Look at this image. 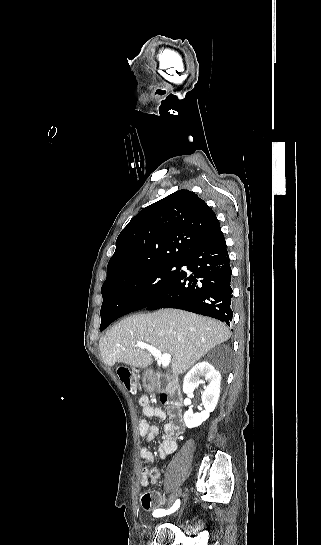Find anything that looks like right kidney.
Returning <instances> with one entry per match:
<instances>
[{
  "instance_id": "ca27d5eb",
  "label": "right kidney",
  "mask_w": 321,
  "mask_h": 545,
  "mask_svg": "<svg viewBox=\"0 0 321 545\" xmlns=\"http://www.w3.org/2000/svg\"><path fill=\"white\" fill-rule=\"evenodd\" d=\"M200 377H204L205 381H208V385L207 387H204L201 397L205 411H201V413L186 411V413H184V421L188 429L199 427L203 421H206L210 413L214 411L220 397L221 375L219 371H215L214 367H212L210 363H207V361L197 363V365H195V367H193V369H191V371L185 375L183 381V393H186V395H192L194 389H196L200 383H203ZM192 397H190V399H192ZM190 399H184V405H191Z\"/></svg>"
}]
</instances>
